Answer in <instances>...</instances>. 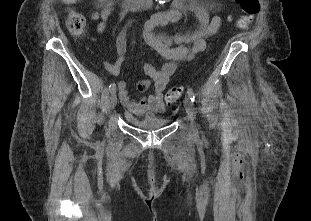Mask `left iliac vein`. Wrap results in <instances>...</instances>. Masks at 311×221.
<instances>
[{
	"mask_svg": "<svg viewBox=\"0 0 311 221\" xmlns=\"http://www.w3.org/2000/svg\"><path fill=\"white\" fill-rule=\"evenodd\" d=\"M184 107H185L188 119L190 121L191 127L194 129L196 127V123H195L193 105H192V101L190 97L186 96L184 98Z\"/></svg>",
	"mask_w": 311,
	"mask_h": 221,
	"instance_id": "obj_1",
	"label": "left iliac vein"
}]
</instances>
